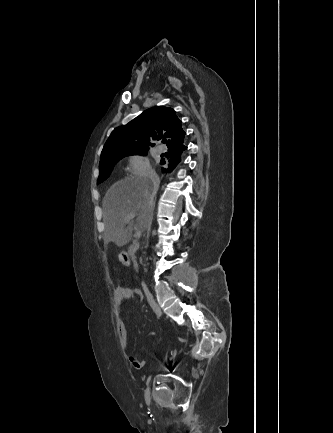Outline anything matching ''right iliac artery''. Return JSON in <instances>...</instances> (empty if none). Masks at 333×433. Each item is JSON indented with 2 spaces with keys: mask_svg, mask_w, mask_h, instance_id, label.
<instances>
[{
  "mask_svg": "<svg viewBox=\"0 0 333 433\" xmlns=\"http://www.w3.org/2000/svg\"><path fill=\"white\" fill-rule=\"evenodd\" d=\"M175 356H176V349H174L172 351V358L175 357ZM150 380H151V376H149L148 379H147V382H146L147 385L149 384ZM144 396H145L146 403L150 404L151 398H150V390L148 388L145 390Z\"/></svg>",
  "mask_w": 333,
  "mask_h": 433,
  "instance_id": "right-iliac-artery-1",
  "label": "right iliac artery"
}]
</instances>
